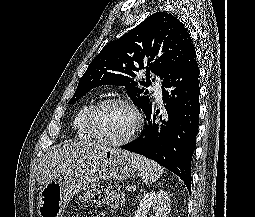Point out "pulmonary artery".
<instances>
[{
  "label": "pulmonary artery",
  "mask_w": 255,
  "mask_h": 217,
  "mask_svg": "<svg viewBox=\"0 0 255 217\" xmlns=\"http://www.w3.org/2000/svg\"><path fill=\"white\" fill-rule=\"evenodd\" d=\"M154 94L158 103L162 102V82L156 80L153 84Z\"/></svg>",
  "instance_id": "1"
}]
</instances>
